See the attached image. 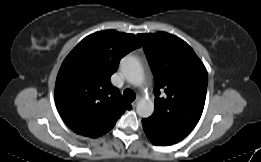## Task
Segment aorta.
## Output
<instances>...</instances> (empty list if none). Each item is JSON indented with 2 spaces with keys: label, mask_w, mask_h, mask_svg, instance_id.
Here are the masks:
<instances>
[{
  "label": "aorta",
  "mask_w": 261,
  "mask_h": 162,
  "mask_svg": "<svg viewBox=\"0 0 261 162\" xmlns=\"http://www.w3.org/2000/svg\"><path fill=\"white\" fill-rule=\"evenodd\" d=\"M120 70L126 80L133 85H140L143 80V71L139 61L133 56H125L120 61ZM154 111V103L150 99H141L136 107L140 117L147 118Z\"/></svg>",
  "instance_id": "1"
}]
</instances>
